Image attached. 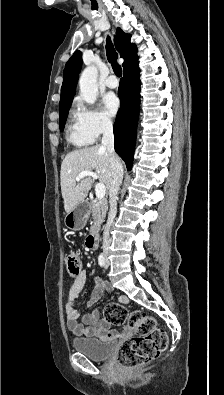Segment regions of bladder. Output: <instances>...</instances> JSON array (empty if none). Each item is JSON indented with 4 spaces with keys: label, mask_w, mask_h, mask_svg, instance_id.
<instances>
[{
    "label": "bladder",
    "mask_w": 224,
    "mask_h": 395,
    "mask_svg": "<svg viewBox=\"0 0 224 395\" xmlns=\"http://www.w3.org/2000/svg\"><path fill=\"white\" fill-rule=\"evenodd\" d=\"M72 346L76 352L87 356L93 361H103L111 356L114 342L95 338H75L72 340Z\"/></svg>",
    "instance_id": "bladder-1"
}]
</instances>
